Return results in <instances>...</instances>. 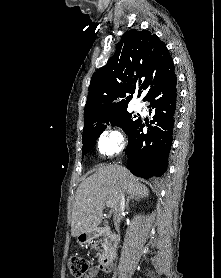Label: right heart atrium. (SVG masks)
Wrapping results in <instances>:
<instances>
[{"label": "right heart atrium", "instance_id": "d8ad5b80", "mask_svg": "<svg viewBox=\"0 0 221 278\" xmlns=\"http://www.w3.org/2000/svg\"><path fill=\"white\" fill-rule=\"evenodd\" d=\"M97 145L100 154L111 156L123 149L125 139L118 129L108 127L100 134Z\"/></svg>", "mask_w": 221, "mask_h": 278}]
</instances>
